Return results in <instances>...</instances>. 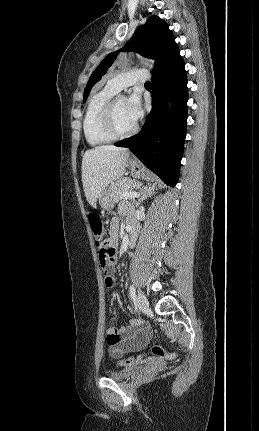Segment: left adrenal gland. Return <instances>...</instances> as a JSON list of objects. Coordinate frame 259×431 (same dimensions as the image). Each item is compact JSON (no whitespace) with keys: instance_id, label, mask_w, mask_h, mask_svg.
Here are the masks:
<instances>
[{"instance_id":"a2214340","label":"left adrenal gland","mask_w":259,"mask_h":431,"mask_svg":"<svg viewBox=\"0 0 259 431\" xmlns=\"http://www.w3.org/2000/svg\"><path fill=\"white\" fill-rule=\"evenodd\" d=\"M155 184H153L152 186H149L148 188H146L144 191H143V193H142V196H141V198L139 199V201H138V204L139 203H142L147 197H149V196H151V195H154L155 194V192H154V190H155Z\"/></svg>"}]
</instances>
